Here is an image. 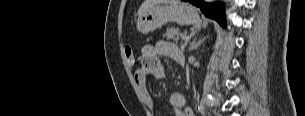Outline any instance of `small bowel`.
<instances>
[{"instance_id":"obj_1","label":"small bowel","mask_w":305,"mask_h":116,"mask_svg":"<svg viewBox=\"0 0 305 116\" xmlns=\"http://www.w3.org/2000/svg\"><path fill=\"white\" fill-rule=\"evenodd\" d=\"M159 56H167L178 61L182 57V53L175 44L163 41L142 48V63L135 71L134 78L144 102L150 109L156 107V101L149 92L147 76L152 75L157 80L163 79L165 76V69L159 60ZM169 105L175 116H194L192 110L187 106L184 96L179 93H173L170 96Z\"/></svg>"}]
</instances>
